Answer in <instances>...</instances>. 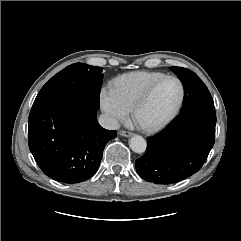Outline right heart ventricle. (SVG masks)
Segmentation results:
<instances>
[{
	"label": "right heart ventricle",
	"instance_id": "1",
	"mask_svg": "<svg viewBox=\"0 0 241 241\" xmlns=\"http://www.w3.org/2000/svg\"><path fill=\"white\" fill-rule=\"evenodd\" d=\"M162 72L136 71L120 75L110 83L112 91L121 103L131 110L135 101L157 79L163 77Z\"/></svg>",
	"mask_w": 241,
	"mask_h": 241
}]
</instances>
